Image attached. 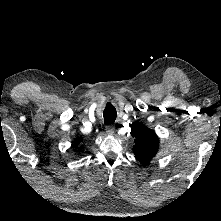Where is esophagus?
<instances>
[{"label":"esophagus","instance_id":"esophagus-1","mask_svg":"<svg viewBox=\"0 0 221 221\" xmlns=\"http://www.w3.org/2000/svg\"><path fill=\"white\" fill-rule=\"evenodd\" d=\"M105 130L108 135H113L115 132V127L113 125H108L106 126Z\"/></svg>","mask_w":221,"mask_h":221}]
</instances>
